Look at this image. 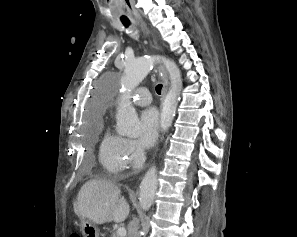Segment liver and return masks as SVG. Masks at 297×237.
Segmentation results:
<instances>
[{
  "label": "liver",
  "instance_id": "liver-1",
  "mask_svg": "<svg viewBox=\"0 0 297 237\" xmlns=\"http://www.w3.org/2000/svg\"><path fill=\"white\" fill-rule=\"evenodd\" d=\"M129 204L120 188L103 180L86 182L78 193L74 212L95 224L123 222L129 215Z\"/></svg>",
  "mask_w": 297,
  "mask_h": 237
}]
</instances>
